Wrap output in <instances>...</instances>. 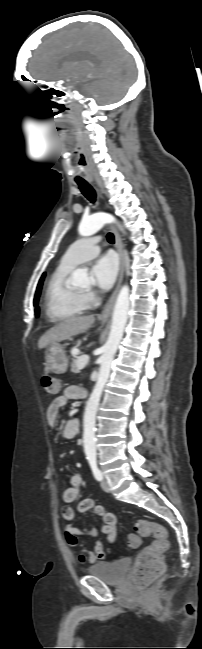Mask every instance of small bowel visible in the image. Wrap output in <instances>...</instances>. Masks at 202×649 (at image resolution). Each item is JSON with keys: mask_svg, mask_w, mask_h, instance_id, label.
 <instances>
[{"mask_svg": "<svg viewBox=\"0 0 202 649\" xmlns=\"http://www.w3.org/2000/svg\"><path fill=\"white\" fill-rule=\"evenodd\" d=\"M86 392L83 387L78 385H69L65 388L63 394L49 404L46 410V420L50 427H53L59 417L60 410L66 406L68 401L81 399L85 396ZM79 428V421L77 418L73 417L68 419L63 428L60 431V436L63 439H72L76 436ZM82 485V478L79 474H74L71 477L70 484L66 487L62 493V500L65 503H72L77 500L80 487ZM94 511L95 514L100 516L103 520V525L100 527H92L89 529H80L72 521L75 518V511L70 506H64L62 508V517L67 522L65 527V537L69 546L79 548L78 558L82 563H95L98 560H104L106 554L103 549V545L98 539V536L103 533L107 535L109 544L114 545L116 543V525L117 519L113 513L107 512L103 506L97 505L92 499H84L77 506L78 512H87ZM108 517H113V521H108ZM80 537H84L86 540L93 541V548L91 550L86 549L83 544L84 540Z\"/></svg>", "mask_w": 202, "mask_h": 649, "instance_id": "small-bowel-1", "label": "small bowel"}]
</instances>
